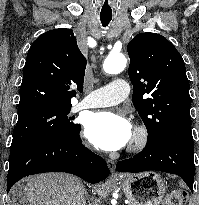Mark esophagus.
<instances>
[{
	"mask_svg": "<svg viewBox=\"0 0 199 205\" xmlns=\"http://www.w3.org/2000/svg\"><path fill=\"white\" fill-rule=\"evenodd\" d=\"M107 165L111 171L112 176H117L116 172H115V162L111 159L107 160Z\"/></svg>",
	"mask_w": 199,
	"mask_h": 205,
	"instance_id": "esophagus-1",
	"label": "esophagus"
}]
</instances>
